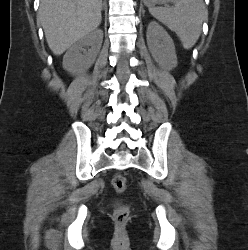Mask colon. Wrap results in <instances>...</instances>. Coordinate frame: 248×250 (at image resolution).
I'll list each match as a JSON object with an SVG mask.
<instances>
[{
    "label": "colon",
    "instance_id": "obj_1",
    "mask_svg": "<svg viewBox=\"0 0 248 250\" xmlns=\"http://www.w3.org/2000/svg\"><path fill=\"white\" fill-rule=\"evenodd\" d=\"M112 187L117 193H123L126 190L127 187V181L126 178L123 175H115L112 178ZM128 216V209L126 207H122L117 209L114 212V219L118 223H123Z\"/></svg>",
    "mask_w": 248,
    "mask_h": 250
}]
</instances>
